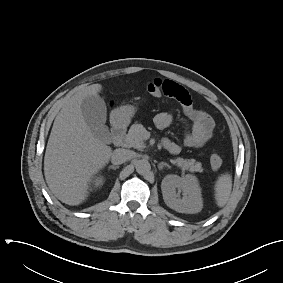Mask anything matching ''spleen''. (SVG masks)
<instances>
[{
    "instance_id": "obj_1",
    "label": "spleen",
    "mask_w": 283,
    "mask_h": 283,
    "mask_svg": "<svg viewBox=\"0 0 283 283\" xmlns=\"http://www.w3.org/2000/svg\"><path fill=\"white\" fill-rule=\"evenodd\" d=\"M215 200L219 207H223L229 200L232 190V176L222 174L215 182Z\"/></svg>"
}]
</instances>
